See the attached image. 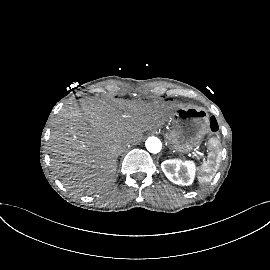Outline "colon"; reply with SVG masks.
Masks as SVG:
<instances>
[{
    "label": "colon",
    "mask_w": 270,
    "mask_h": 270,
    "mask_svg": "<svg viewBox=\"0 0 270 270\" xmlns=\"http://www.w3.org/2000/svg\"><path fill=\"white\" fill-rule=\"evenodd\" d=\"M196 116L203 117V116H205V113L203 111H200V112L196 113ZM209 128H210L211 132H213V133L218 131L219 127H218V123H217L215 118L209 119Z\"/></svg>",
    "instance_id": "obj_1"
}]
</instances>
